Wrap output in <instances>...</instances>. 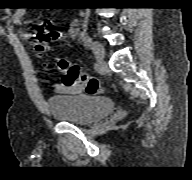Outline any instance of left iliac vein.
I'll return each mask as SVG.
<instances>
[{"label": "left iliac vein", "mask_w": 192, "mask_h": 180, "mask_svg": "<svg viewBox=\"0 0 192 180\" xmlns=\"http://www.w3.org/2000/svg\"><path fill=\"white\" fill-rule=\"evenodd\" d=\"M92 51L94 53V56L96 60L99 62V64L103 63L104 56H105V49L102 43L99 41H93L92 42Z\"/></svg>", "instance_id": "left-iliac-vein-1"}]
</instances>
